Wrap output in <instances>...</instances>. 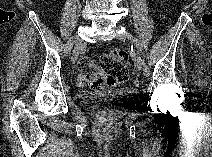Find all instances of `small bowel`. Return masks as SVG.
I'll return each instance as SVG.
<instances>
[{
	"label": "small bowel",
	"mask_w": 212,
	"mask_h": 157,
	"mask_svg": "<svg viewBox=\"0 0 212 157\" xmlns=\"http://www.w3.org/2000/svg\"><path fill=\"white\" fill-rule=\"evenodd\" d=\"M85 61H87V59H82L80 65H82Z\"/></svg>",
	"instance_id": "obj_1"
}]
</instances>
